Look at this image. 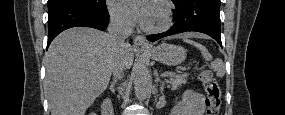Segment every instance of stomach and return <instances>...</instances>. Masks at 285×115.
Here are the masks:
<instances>
[{
    "instance_id": "0dacf381",
    "label": "stomach",
    "mask_w": 285,
    "mask_h": 115,
    "mask_svg": "<svg viewBox=\"0 0 285 115\" xmlns=\"http://www.w3.org/2000/svg\"><path fill=\"white\" fill-rule=\"evenodd\" d=\"M147 53L154 60L168 66H176L186 59V50L184 48L167 43H162Z\"/></svg>"
}]
</instances>
